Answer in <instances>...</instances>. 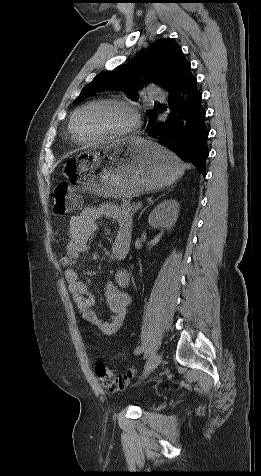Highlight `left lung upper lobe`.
<instances>
[{
  "instance_id": "left-lung-upper-lobe-1",
  "label": "left lung upper lobe",
  "mask_w": 261,
  "mask_h": 476,
  "mask_svg": "<svg viewBox=\"0 0 261 476\" xmlns=\"http://www.w3.org/2000/svg\"><path fill=\"white\" fill-rule=\"evenodd\" d=\"M190 63L184 57L180 46L171 39H160L137 54L128 64L120 65L113 71H102L85 85L74 102L89 97L92 93L106 90L136 91L142 83L153 82L171 91ZM143 76V80H139ZM131 98L138 95L130 93ZM150 121L157 116L156 110L147 112Z\"/></svg>"
}]
</instances>
